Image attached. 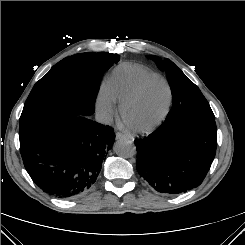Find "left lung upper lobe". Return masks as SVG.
<instances>
[{"instance_id": "5c2ea615", "label": "left lung upper lobe", "mask_w": 245, "mask_h": 245, "mask_svg": "<svg viewBox=\"0 0 245 245\" xmlns=\"http://www.w3.org/2000/svg\"><path fill=\"white\" fill-rule=\"evenodd\" d=\"M148 58L154 60L157 66L166 73L171 88L173 103L166 121L186 112L215 117L199 88L171 60L163 61L154 55Z\"/></svg>"}]
</instances>
